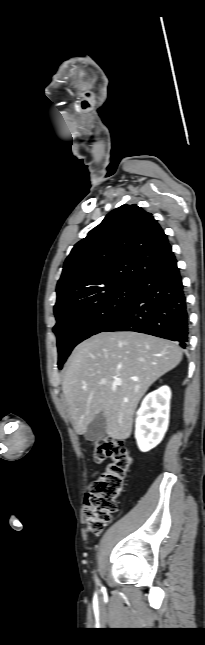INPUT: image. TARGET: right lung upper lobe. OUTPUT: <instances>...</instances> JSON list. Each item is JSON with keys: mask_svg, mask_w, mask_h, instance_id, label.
<instances>
[{"mask_svg": "<svg viewBox=\"0 0 205 645\" xmlns=\"http://www.w3.org/2000/svg\"><path fill=\"white\" fill-rule=\"evenodd\" d=\"M175 260L168 238L152 214L135 204L122 205L73 247L57 284L54 312L84 297L137 284L154 269Z\"/></svg>", "mask_w": 205, "mask_h": 645, "instance_id": "1", "label": "right lung upper lobe"}]
</instances>
